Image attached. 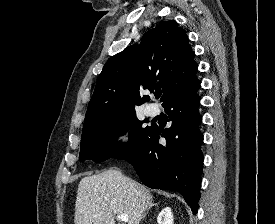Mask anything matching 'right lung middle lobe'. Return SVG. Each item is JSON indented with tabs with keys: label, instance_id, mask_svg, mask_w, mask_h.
<instances>
[{
	"label": "right lung middle lobe",
	"instance_id": "right-lung-middle-lobe-1",
	"mask_svg": "<svg viewBox=\"0 0 275 224\" xmlns=\"http://www.w3.org/2000/svg\"><path fill=\"white\" fill-rule=\"evenodd\" d=\"M142 123L136 118L135 111H132L105 118L83 128L80 161L92 159L101 162L123 153L150 129V126L143 127ZM127 131L128 143L123 144L115 139Z\"/></svg>",
	"mask_w": 275,
	"mask_h": 224
}]
</instances>
